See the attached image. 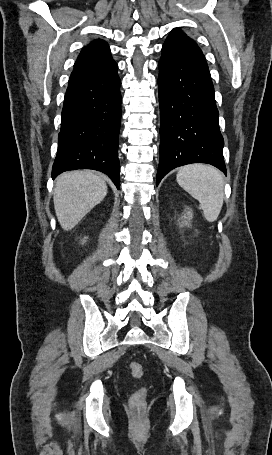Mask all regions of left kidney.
<instances>
[{"mask_svg":"<svg viewBox=\"0 0 272 455\" xmlns=\"http://www.w3.org/2000/svg\"><path fill=\"white\" fill-rule=\"evenodd\" d=\"M186 215H187V217H186ZM186 215H184V218H186V219H188V220H190V219L192 218V213H191V212L188 211V212L186 213ZM185 224L187 225V224H188V221H185Z\"/></svg>","mask_w":272,"mask_h":455,"instance_id":"1","label":"left kidney"}]
</instances>
